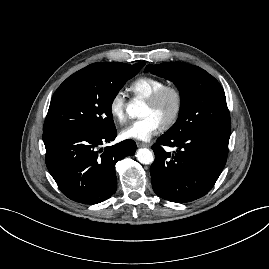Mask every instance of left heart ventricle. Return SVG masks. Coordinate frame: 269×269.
<instances>
[{
	"instance_id": "b2bd125f",
	"label": "left heart ventricle",
	"mask_w": 269,
	"mask_h": 269,
	"mask_svg": "<svg viewBox=\"0 0 269 269\" xmlns=\"http://www.w3.org/2000/svg\"><path fill=\"white\" fill-rule=\"evenodd\" d=\"M175 105L174 97L171 94L165 95L156 106L144 104L141 116L152 115L156 117L161 124L171 115Z\"/></svg>"
}]
</instances>
